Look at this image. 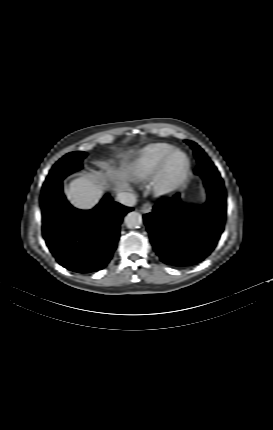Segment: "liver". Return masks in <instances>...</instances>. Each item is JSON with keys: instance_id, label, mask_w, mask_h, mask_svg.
I'll use <instances>...</instances> for the list:
<instances>
[{"instance_id": "liver-1", "label": "liver", "mask_w": 273, "mask_h": 430, "mask_svg": "<svg viewBox=\"0 0 273 430\" xmlns=\"http://www.w3.org/2000/svg\"><path fill=\"white\" fill-rule=\"evenodd\" d=\"M118 176H124L123 172H117ZM106 182H97L88 176L78 177L70 182L65 190L69 202L80 210H91L103 196Z\"/></svg>"}]
</instances>
